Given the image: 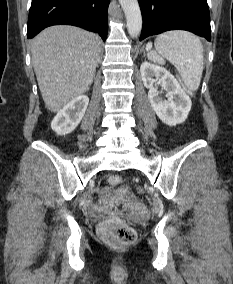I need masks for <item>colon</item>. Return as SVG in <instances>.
<instances>
[{
    "instance_id": "1",
    "label": "colon",
    "mask_w": 233,
    "mask_h": 284,
    "mask_svg": "<svg viewBox=\"0 0 233 284\" xmlns=\"http://www.w3.org/2000/svg\"><path fill=\"white\" fill-rule=\"evenodd\" d=\"M148 57L151 61L159 65L165 63V59L155 50H150ZM186 90L189 93L191 92L189 89ZM107 180L110 185L118 188V199L126 203L130 211L140 215L146 213L145 204L141 200L132 198L127 191L121 187L122 178L119 175H110ZM98 233L104 241L116 247L131 245L137 238L135 229L120 220H108L100 223Z\"/></svg>"
}]
</instances>
